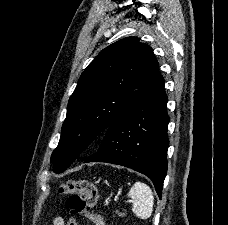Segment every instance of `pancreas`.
I'll use <instances>...</instances> for the list:
<instances>
[{"instance_id":"pancreas-1","label":"pancreas","mask_w":228,"mask_h":225,"mask_svg":"<svg viewBox=\"0 0 228 225\" xmlns=\"http://www.w3.org/2000/svg\"><path fill=\"white\" fill-rule=\"evenodd\" d=\"M120 217H125V213H119Z\"/></svg>"}]
</instances>
